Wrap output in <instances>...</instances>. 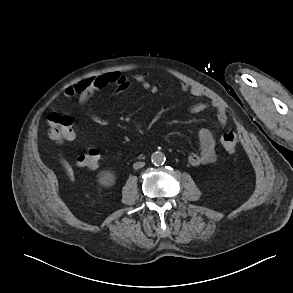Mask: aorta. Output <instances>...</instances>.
<instances>
[{
    "instance_id": "1",
    "label": "aorta",
    "mask_w": 293,
    "mask_h": 293,
    "mask_svg": "<svg viewBox=\"0 0 293 293\" xmlns=\"http://www.w3.org/2000/svg\"><path fill=\"white\" fill-rule=\"evenodd\" d=\"M151 162L154 165H161L165 162V155L162 152H154L151 155Z\"/></svg>"
}]
</instances>
